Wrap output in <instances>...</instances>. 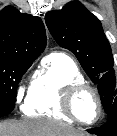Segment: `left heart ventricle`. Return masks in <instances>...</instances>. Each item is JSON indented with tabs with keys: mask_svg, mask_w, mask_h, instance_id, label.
Returning <instances> with one entry per match:
<instances>
[{
	"mask_svg": "<svg viewBox=\"0 0 117 136\" xmlns=\"http://www.w3.org/2000/svg\"><path fill=\"white\" fill-rule=\"evenodd\" d=\"M75 110L77 115L85 121H93L98 112L95 98L90 93L80 95L76 101Z\"/></svg>",
	"mask_w": 117,
	"mask_h": 136,
	"instance_id": "b2bd125f",
	"label": "left heart ventricle"
}]
</instances>
